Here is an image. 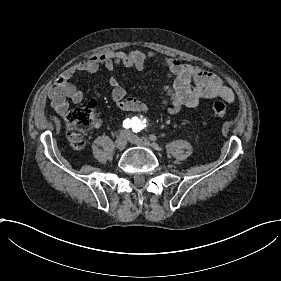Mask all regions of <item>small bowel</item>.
I'll return each mask as SVG.
<instances>
[{
    "label": "small bowel",
    "mask_w": 281,
    "mask_h": 281,
    "mask_svg": "<svg viewBox=\"0 0 281 281\" xmlns=\"http://www.w3.org/2000/svg\"><path fill=\"white\" fill-rule=\"evenodd\" d=\"M149 62L166 68L170 73L172 81L164 86V92L171 115L178 113L182 107L196 108L203 99L220 97L229 103L235 101L232 89L220 77L201 66L184 64L168 55H156L141 50H108L70 68L57 84L52 85L49 90L52 106L60 116L66 117L70 112L68 101L73 104L83 102L84 94L72 79L95 73L100 67L113 69L115 66H126L141 71ZM109 85L112 98L122 111L145 112V107L140 101L126 95L118 79L110 78ZM101 124L97 119L91 125L96 129Z\"/></svg>",
    "instance_id": "small-bowel-1"
}]
</instances>
